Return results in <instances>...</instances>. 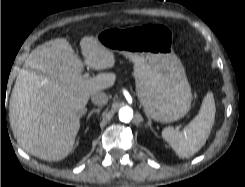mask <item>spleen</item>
<instances>
[{
    "instance_id": "obj_1",
    "label": "spleen",
    "mask_w": 245,
    "mask_h": 187,
    "mask_svg": "<svg viewBox=\"0 0 245 187\" xmlns=\"http://www.w3.org/2000/svg\"><path fill=\"white\" fill-rule=\"evenodd\" d=\"M215 112L213 93L208 92L198 115L182 131L166 127L162 131V137L179 157L189 158L206 143L214 124Z\"/></svg>"
}]
</instances>
